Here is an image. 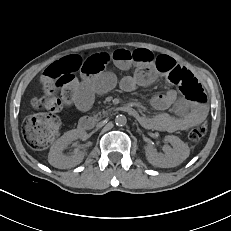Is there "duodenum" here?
Wrapping results in <instances>:
<instances>
[{"instance_id":"obj_1","label":"duodenum","mask_w":231,"mask_h":231,"mask_svg":"<svg viewBox=\"0 0 231 231\" xmlns=\"http://www.w3.org/2000/svg\"><path fill=\"white\" fill-rule=\"evenodd\" d=\"M123 110L134 118H138V119L140 118V116L138 115L136 110L133 109L132 107H124ZM93 123H94V121L91 117L85 116V117H82L80 119L79 124H78V128L81 131H87V130L92 128Z\"/></svg>"}]
</instances>
